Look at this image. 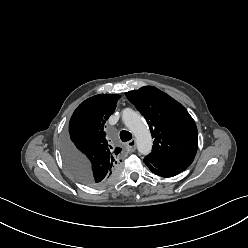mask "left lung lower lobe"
Listing matches in <instances>:
<instances>
[{"label":"left lung lower lobe","mask_w":248,"mask_h":248,"mask_svg":"<svg viewBox=\"0 0 248 248\" xmlns=\"http://www.w3.org/2000/svg\"><path fill=\"white\" fill-rule=\"evenodd\" d=\"M148 168L155 173L156 175L162 176V177H172L180 172L184 171L187 167H174V168H165V169H160L152 166L151 164L144 162Z\"/></svg>","instance_id":"1"}]
</instances>
